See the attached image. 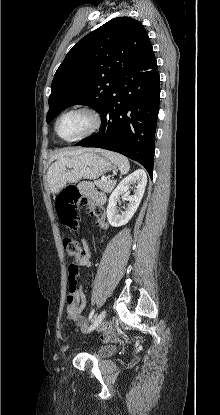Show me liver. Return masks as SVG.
I'll list each match as a JSON object with an SVG mask.
<instances>
[{"label": "liver", "mask_w": 220, "mask_h": 415, "mask_svg": "<svg viewBox=\"0 0 220 415\" xmlns=\"http://www.w3.org/2000/svg\"><path fill=\"white\" fill-rule=\"evenodd\" d=\"M83 151H84L83 149H79V150H76V151L60 152V153H58L57 155L54 156V159H61V158L66 157V156H72V155L80 154Z\"/></svg>", "instance_id": "6515ba94"}]
</instances>
